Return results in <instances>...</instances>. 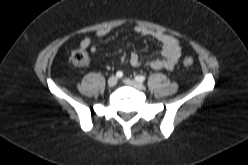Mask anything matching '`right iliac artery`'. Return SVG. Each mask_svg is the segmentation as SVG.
<instances>
[{
    "label": "right iliac artery",
    "instance_id": "right-iliac-artery-1",
    "mask_svg": "<svg viewBox=\"0 0 248 165\" xmlns=\"http://www.w3.org/2000/svg\"><path fill=\"white\" fill-rule=\"evenodd\" d=\"M123 76V72L122 71H118L117 73H116V77L117 78H121Z\"/></svg>",
    "mask_w": 248,
    "mask_h": 165
}]
</instances>
